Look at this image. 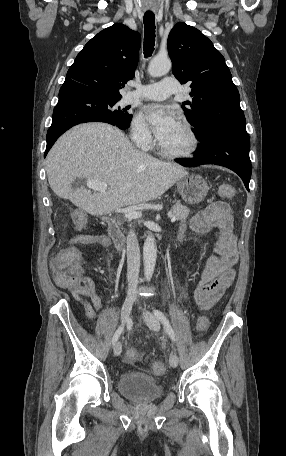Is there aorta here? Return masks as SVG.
I'll use <instances>...</instances> for the list:
<instances>
[{
    "instance_id": "obj_1",
    "label": "aorta",
    "mask_w": 286,
    "mask_h": 456,
    "mask_svg": "<svg viewBox=\"0 0 286 456\" xmlns=\"http://www.w3.org/2000/svg\"><path fill=\"white\" fill-rule=\"evenodd\" d=\"M172 67L169 58L154 57L148 66V73L152 77H160L167 74ZM157 258V247L155 238L147 236L143 246L144 276L149 281L154 273Z\"/></svg>"
}]
</instances>
